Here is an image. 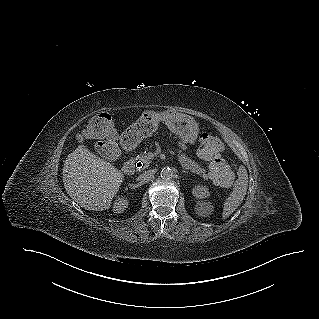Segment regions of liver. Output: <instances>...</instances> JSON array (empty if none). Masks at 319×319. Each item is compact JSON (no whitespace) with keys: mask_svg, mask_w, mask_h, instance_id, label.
<instances>
[{"mask_svg":"<svg viewBox=\"0 0 319 319\" xmlns=\"http://www.w3.org/2000/svg\"><path fill=\"white\" fill-rule=\"evenodd\" d=\"M124 180L111 163L91 153L84 144L64 162L63 182L69 196L86 210L108 209Z\"/></svg>","mask_w":319,"mask_h":319,"instance_id":"obj_1","label":"liver"}]
</instances>
